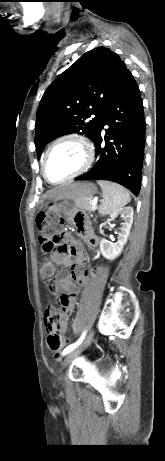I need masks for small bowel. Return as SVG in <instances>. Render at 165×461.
Returning a JSON list of instances; mask_svg holds the SVG:
<instances>
[{
    "instance_id": "small-bowel-1",
    "label": "small bowel",
    "mask_w": 165,
    "mask_h": 461,
    "mask_svg": "<svg viewBox=\"0 0 165 461\" xmlns=\"http://www.w3.org/2000/svg\"><path fill=\"white\" fill-rule=\"evenodd\" d=\"M60 209L62 210V212H59L60 214L62 213L64 216L71 217V222L76 227L78 234L82 236L90 246L95 247L98 240L95 235L88 230L85 218L87 214L86 209H68L66 204H62ZM70 243V251H54L50 254V260L53 264L70 267L71 271L62 270L56 273L54 282L47 288L51 295H57L62 292L59 301L61 316L57 317L58 309L50 306L45 312L44 319L46 331L48 333L52 330L58 332L63 340H67L62 334L67 329V322L76 305L79 286L84 285L89 277V272L83 270L84 253L79 244V238L71 237ZM72 258L74 260H72Z\"/></svg>"
}]
</instances>
